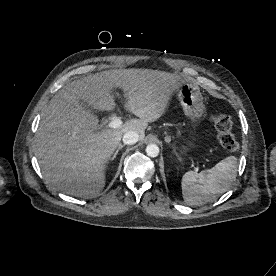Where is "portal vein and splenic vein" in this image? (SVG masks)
Segmentation results:
<instances>
[{"label":"portal vein and splenic vein","mask_w":276,"mask_h":276,"mask_svg":"<svg viewBox=\"0 0 276 276\" xmlns=\"http://www.w3.org/2000/svg\"><path fill=\"white\" fill-rule=\"evenodd\" d=\"M121 125H122V120L120 117H114L108 123V127L113 129L119 128Z\"/></svg>","instance_id":"1"}]
</instances>
